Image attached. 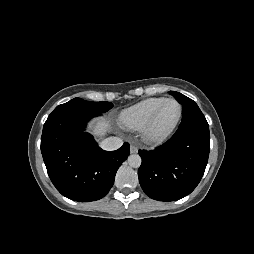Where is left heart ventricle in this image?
<instances>
[{
    "label": "left heart ventricle",
    "mask_w": 254,
    "mask_h": 254,
    "mask_svg": "<svg viewBox=\"0 0 254 254\" xmlns=\"http://www.w3.org/2000/svg\"><path fill=\"white\" fill-rule=\"evenodd\" d=\"M179 112V107L175 102H167L165 103L154 123L153 133L161 134L168 130L173 123L175 122L177 115Z\"/></svg>",
    "instance_id": "left-heart-ventricle-1"
}]
</instances>
